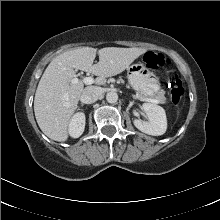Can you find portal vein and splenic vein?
<instances>
[{
    "instance_id": "1",
    "label": "portal vein and splenic vein",
    "mask_w": 220,
    "mask_h": 220,
    "mask_svg": "<svg viewBox=\"0 0 220 220\" xmlns=\"http://www.w3.org/2000/svg\"><path fill=\"white\" fill-rule=\"evenodd\" d=\"M77 82V79H73V83H76ZM83 82L86 84V85H91L95 82V80L92 78V77H85L83 79ZM143 101H148V102H153V103H158V100L156 99H151V98H143L142 99Z\"/></svg>"
}]
</instances>
